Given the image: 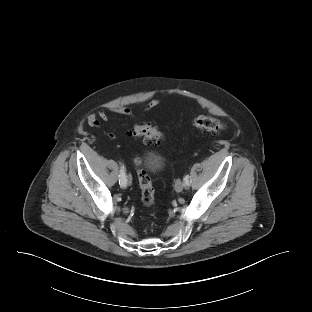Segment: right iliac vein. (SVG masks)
<instances>
[{
  "instance_id": "right-iliac-vein-1",
  "label": "right iliac vein",
  "mask_w": 312,
  "mask_h": 312,
  "mask_svg": "<svg viewBox=\"0 0 312 312\" xmlns=\"http://www.w3.org/2000/svg\"><path fill=\"white\" fill-rule=\"evenodd\" d=\"M127 182L130 184L131 183V176L130 175H127Z\"/></svg>"
}]
</instances>
